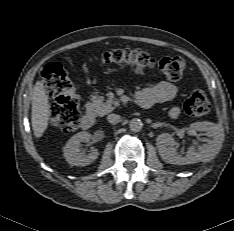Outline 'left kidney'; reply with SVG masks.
<instances>
[{
  "instance_id": "left-kidney-1",
  "label": "left kidney",
  "mask_w": 234,
  "mask_h": 231,
  "mask_svg": "<svg viewBox=\"0 0 234 231\" xmlns=\"http://www.w3.org/2000/svg\"><path fill=\"white\" fill-rule=\"evenodd\" d=\"M190 132H206L211 139H207V144L198 147H190L185 156L178 154L175 147V140L172 135L162 133L156 138V145L160 157L167 163L174 165L193 164L205 159L213 158L222 147L224 141V130L221 125L212 122H195L190 125Z\"/></svg>"
}]
</instances>
